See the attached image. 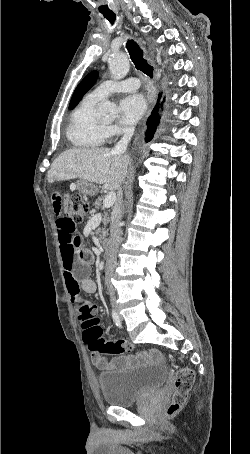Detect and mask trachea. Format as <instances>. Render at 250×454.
Returning <instances> with one entry per match:
<instances>
[{
	"label": "trachea",
	"instance_id": "obj_1",
	"mask_svg": "<svg viewBox=\"0 0 250 454\" xmlns=\"http://www.w3.org/2000/svg\"><path fill=\"white\" fill-rule=\"evenodd\" d=\"M105 18L109 20L110 23H114L116 17L113 15H105ZM126 48L130 54L131 60L133 61L137 70H140L150 78H153V67L148 64L147 60L143 57V51L140 49L138 44L133 41L129 40L126 43Z\"/></svg>",
	"mask_w": 250,
	"mask_h": 454
}]
</instances>
